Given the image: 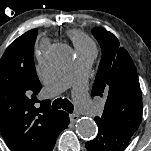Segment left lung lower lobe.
I'll list each match as a JSON object with an SVG mask.
<instances>
[{"label": "left lung lower lobe", "mask_w": 151, "mask_h": 151, "mask_svg": "<svg viewBox=\"0 0 151 151\" xmlns=\"http://www.w3.org/2000/svg\"><path fill=\"white\" fill-rule=\"evenodd\" d=\"M97 125V137L85 144L88 151H123L128 146L131 139L129 135Z\"/></svg>", "instance_id": "1"}]
</instances>
